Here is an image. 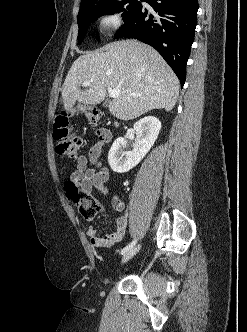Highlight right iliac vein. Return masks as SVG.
Listing matches in <instances>:
<instances>
[{"label": "right iliac vein", "mask_w": 247, "mask_h": 332, "mask_svg": "<svg viewBox=\"0 0 247 332\" xmlns=\"http://www.w3.org/2000/svg\"><path fill=\"white\" fill-rule=\"evenodd\" d=\"M139 250H140V245H138L136 247H133L130 250H128L126 253H124L121 263L124 264L127 261H129L131 258H133L137 254V252Z\"/></svg>", "instance_id": "63e3f726"}]
</instances>
